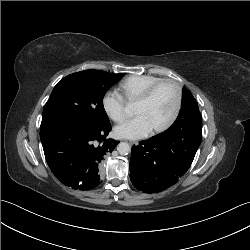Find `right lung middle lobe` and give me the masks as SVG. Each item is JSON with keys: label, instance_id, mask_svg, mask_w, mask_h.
I'll return each instance as SVG.
<instances>
[{"label": "right lung middle lobe", "instance_id": "obj_1", "mask_svg": "<svg viewBox=\"0 0 250 250\" xmlns=\"http://www.w3.org/2000/svg\"><path fill=\"white\" fill-rule=\"evenodd\" d=\"M123 73L85 70L66 76L54 87L44 106L41 128L54 123L92 127L109 124L103 97Z\"/></svg>", "mask_w": 250, "mask_h": 250}]
</instances>
